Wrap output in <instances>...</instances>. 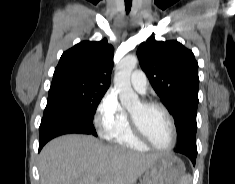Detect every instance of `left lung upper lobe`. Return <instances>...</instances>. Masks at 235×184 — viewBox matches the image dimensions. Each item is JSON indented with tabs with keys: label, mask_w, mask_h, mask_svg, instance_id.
<instances>
[{
	"label": "left lung upper lobe",
	"mask_w": 235,
	"mask_h": 184,
	"mask_svg": "<svg viewBox=\"0 0 235 184\" xmlns=\"http://www.w3.org/2000/svg\"><path fill=\"white\" fill-rule=\"evenodd\" d=\"M137 54L142 70L174 117L177 148L197 150L199 77L193 52L176 40L163 42L150 37L140 44Z\"/></svg>",
	"instance_id": "left-lung-upper-lobe-1"
}]
</instances>
